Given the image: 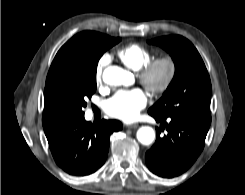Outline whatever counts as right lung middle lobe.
<instances>
[{"label": "right lung middle lobe", "mask_w": 245, "mask_h": 195, "mask_svg": "<svg viewBox=\"0 0 245 195\" xmlns=\"http://www.w3.org/2000/svg\"><path fill=\"white\" fill-rule=\"evenodd\" d=\"M120 40L109 36L99 40H77L67 42L58 51L45 87L71 121L84 117L85 100L96 91L98 61L107 49Z\"/></svg>", "instance_id": "1"}]
</instances>
